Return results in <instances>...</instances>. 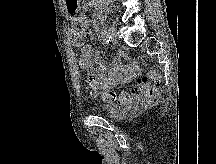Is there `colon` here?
Returning a JSON list of instances; mask_svg holds the SVG:
<instances>
[{
	"label": "colon",
	"instance_id": "1",
	"mask_svg": "<svg viewBox=\"0 0 216 164\" xmlns=\"http://www.w3.org/2000/svg\"><path fill=\"white\" fill-rule=\"evenodd\" d=\"M161 82L159 73L151 70L147 77L139 79L132 88L120 91L119 93L107 91L100 93L104 102L111 105H123L130 103L137 98L143 107H148L156 99L158 94V86ZM87 84L94 88L91 80Z\"/></svg>",
	"mask_w": 216,
	"mask_h": 164
}]
</instances>
